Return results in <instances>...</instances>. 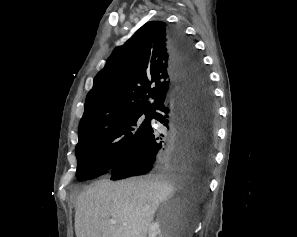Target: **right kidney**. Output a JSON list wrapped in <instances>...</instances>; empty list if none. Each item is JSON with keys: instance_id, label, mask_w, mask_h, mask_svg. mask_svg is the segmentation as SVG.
I'll list each match as a JSON object with an SVG mask.
<instances>
[{"instance_id": "ca27d5eb", "label": "right kidney", "mask_w": 297, "mask_h": 237, "mask_svg": "<svg viewBox=\"0 0 297 237\" xmlns=\"http://www.w3.org/2000/svg\"><path fill=\"white\" fill-rule=\"evenodd\" d=\"M148 237H164L165 235L162 233L159 223L158 222H153L149 226V232H148Z\"/></svg>"}]
</instances>
